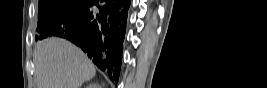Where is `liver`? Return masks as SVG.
<instances>
[{
  "mask_svg": "<svg viewBox=\"0 0 267 88\" xmlns=\"http://www.w3.org/2000/svg\"><path fill=\"white\" fill-rule=\"evenodd\" d=\"M33 62L37 88H80L96 73L81 49L57 37L37 43Z\"/></svg>",
  "mask_w": 267,
  "mask_h": 88,
  "instance_id": "obj_1",
  "label": "liver"
}]
</instances>
